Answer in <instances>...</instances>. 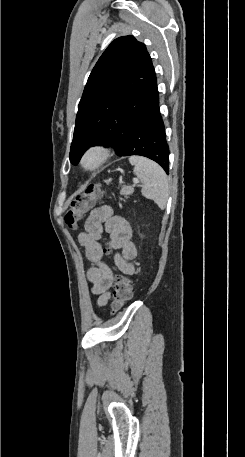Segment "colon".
I'll list each match as a JSON object with an SVG mask.
<instances>
[{
	"mask_svg": "<svg viewBox=\"0 0 245 457\" xmlns=\"http://www.w3.org/2000/svg\"><path fill=\"white\" fill-rule=\"evenodd\" d=\"M101 194L102 191L99 184H91L88 186L84 193L72 200L65 215L66 224L71 228L76 227L86 211L95 203ZM132 293V281L126 276H117L111 296L112 309L114 311L119 310L132 298Z\"/></svg>",
	"mask_w": 245,
	"mask_h": 457,
	"instance_id": "5ec220e1",
	"label": "colon"
}]
</instances>
